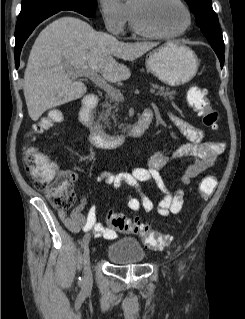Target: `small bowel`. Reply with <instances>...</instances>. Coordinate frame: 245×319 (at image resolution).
Instances as JSON below:
<instances>
[{
	"label": "small bowel",
	"mask_w": 245,
	"mask_h": 319,
	"mask_svg": "<svg viewBox=\"0 0 245 319\" xmlns=\"http://www.w3.org/2000/svg\"><path fill=\"white\" fill-rule=\"evenodd\" d=\"M152 116V111L146 109ZM170 119L189 141L178 147L172 154L165 155L153 151L147 161L146 167H136L130 172L118 174L101 173L97 180L114 189L123 186L130 187L133 192L125 194V200L129 210L132 212L144 211L151 213L154 210L161 216L178 213L184 202V191L182 189L171 190L165 184L160 171L175 158L191 157L193 162L184 170L180 177L182 185H189L194 177L211 167L218 156L224 151L225 145L219 141H205L202 129L195 126L190 120L170 113ZM72 175V181H75ZM144 183L155 185L163 194V199L154 205L149 196L144 192L141 185ZM87 205V196L82 195L78 206L70 214L64 210L58 211V217L73 232H89L96 238L114 240L119 233L116 229L103 225L97 221V208L92 204L86 213H83Z\"/></svg>",
	"instance_id": "1"
}]
</instances>
